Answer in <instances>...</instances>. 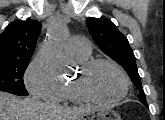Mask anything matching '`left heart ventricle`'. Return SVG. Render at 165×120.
I'll use <instances>...</instances> for the list:
<instances>
[{"mask_svg": "<svg viewBox=\"0 0 165 120\" xmlns=\"http://www.w3.org/2000/svg\"><path fill=\"white\" fill-rule=\"evenodd\" d=\"M86 87L93 96L110 99L122 92L123 80L115 68L102 64L90 72L87 77Z\"/></svg>", "mask_w": 165, "mask_h": 120, "instance_id": "1", "label": "left heart ventricle"}]
</instances>
